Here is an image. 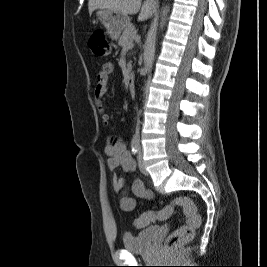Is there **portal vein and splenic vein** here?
Listing matches in <instances>:
<instances>
[{"label": "portal vein and splenic vein", "mask_w": 267, "mask_h": 267, "mask_svg": "<svg viewBox=\"0 0 267 267\" xmlns=\"http://www.w3.org/2000/svg\"><path fill=\"white\" fill-rule=\"evenodd\" d=\"M127 47H128V48H132V47H133L132 42L128 43V44H127Z\"/></svg>", "instance_id": "18ae733b"}]
</instances>
